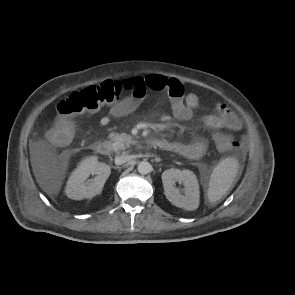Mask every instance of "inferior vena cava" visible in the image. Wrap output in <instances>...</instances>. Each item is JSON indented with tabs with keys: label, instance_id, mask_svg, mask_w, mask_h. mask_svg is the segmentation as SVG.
I'll return each mask as SVG.
<instances>
[{
	"label": "inferior vena cava",
	"instance_id": "obj_1",
	"mask_svg": "<svg viewBox=\"0 0 295 295\" xmlns=\"http://www.w3.org/2000/svg\"><path fill=\"white\" fill-rule=\"evenodd\" d=\"M130 159L131 158L129 155H120V156L115 157V164L122 165V164L128 162Z\"/></svg>",
	"mask_w": 295,
	"mask_h": 295
}]
</instances>
